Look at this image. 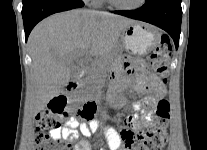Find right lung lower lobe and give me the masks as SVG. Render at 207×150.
<instances>
[{
  "mask_svg": "<svg viewBox=\"0 0 207 150\" xmlns=\"http://www.w3.org/2000/svg\"><path fill=\"white\" fill-rule=\"evenodd\" d=\"M83 5L82 0H23L22 17L26 41L33 27L45 17Z\"/></svg>",
  "mask_w": 207,
  "mask_h": 150,
  "instance_id": "98d812e1",
  "label": "right lung lower lobe"
}]
</instances>
